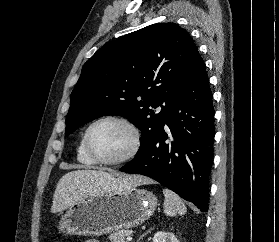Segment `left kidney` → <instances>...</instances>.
I'll list each match as a JSON object with an SVG mask.
<instances>
[{
  "label": "left kidney",
  "instance_id": "1",
  "mask_svg": "<svg viewBox=\"0 0 279 242\" xmlns=\"http://www.w3.org/2000/svg\"><path fill=\"white\" fill-rule=\"evenodd\" d=\"M153 242H179L176 236L171 232L158 231L154 237Z\"/></svg>",
  "mask_w": 279,
  "mask_h": 242
}]
</instances>
